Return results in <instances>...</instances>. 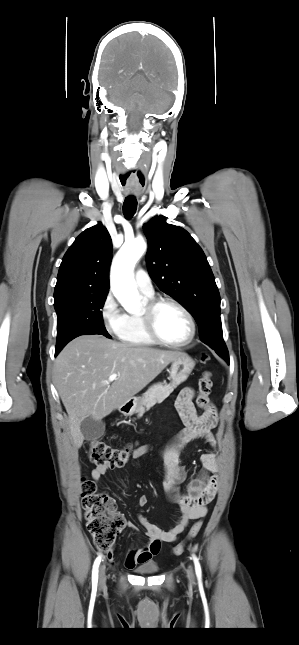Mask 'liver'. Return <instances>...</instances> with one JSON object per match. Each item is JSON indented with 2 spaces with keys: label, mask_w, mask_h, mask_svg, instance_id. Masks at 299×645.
I'll list each match as a JSON object with an SVG mask.
<instances>
[{
  "label": "liver",
  "mask_w": 299,
  "mask_h": 645,
  "mask_svg": "<svg viewBox=\"0 0 299 645\" xmlns=\"http://www.w3.org/2000/svg\"><path fill=\"white\" fill-rule=\"evenodd\" d=\"M183 353L82 335L57 356L53 378L69 416L73 445L84 441L81 422L101 420L145 388ZM117 378L106 383L111 374Z\"/></svg>",
  "instance_id": "6515ba94"
}]
</instances>
